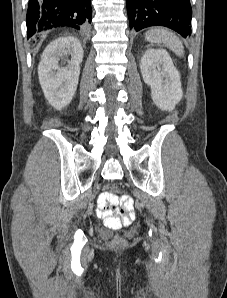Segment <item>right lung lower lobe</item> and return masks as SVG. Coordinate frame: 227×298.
Listing matches in <instances>:
<instances>
[{
    "instance_id": "1",
    "label": "right lung lower lobe",
    "mask_w": 227,
    "mask_h": 298,
    "mask_svg": "<svg viewBox=\"0 0 227 298\" xmlns=\"http://www.w3.org/2000/svg\"><path fill=\"white\" fill-rule=\"evenodd\" d=\"M91 22L90 0H29L27 10L28 38L52 27L83 29Z\"/></svg>"
}]
</instances>
